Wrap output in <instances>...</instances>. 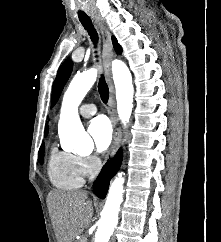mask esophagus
Masks as SVG:
<instances>
[{"label":"esophagus","mask_w":221,"mask_h":242,"mask_svg":"<svg viewBox=\"0 0 221 242\" xmlns=\"http://www.w3.org/2000/svg\"><path fill=\"white\" fill-rule=\"evenodd\" d=\"M95 22L97 23L103 40V59H104V68H105V76L109 86V116L111 119L112 127H113V140L110 148V155L113 156L117 152L120 143H121V129L118 126V120L116 117V112L114 109L115 106V93L114 86L112 82L111 76V59H112V40L111 34L109 30L106 28L104 23L99 19L95 18Z\"/></svg>","instance_id":"1"}]
</instances>
